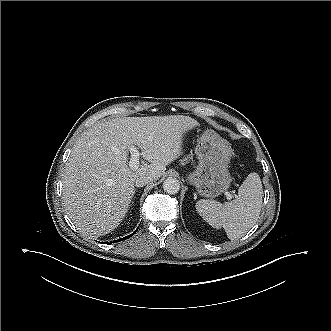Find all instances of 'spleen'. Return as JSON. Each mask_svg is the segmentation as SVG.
<instances>
[{
    "instance_id": "obj_1",
    "label": "spleen",
    "mask_w": 331,
    "mask_h": 331,
    "mask_svg": "<svg viewBox=\"0 0 331 331\" xmlns=\"http://www.w3.org/2000/svg\"><path fill=\"white\" fill-rule=\"evenodd\" d=\"M262 201V183L256 173H250L239 187L238 197L224 204L215 200H199L196 210L213 228L223 227L229 239L244 236L253 226Z\"/></svg>"
}]
</instances>
